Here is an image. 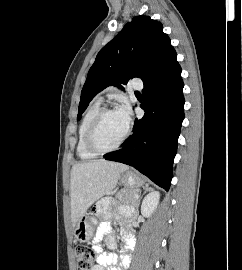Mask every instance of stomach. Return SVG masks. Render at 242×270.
<instances>
[{
  "label": "stomach",
  "instance_id": "1",
  "mask_svg": "<svg viewBox=\"0 0 242 270\" xmlns=\"http://www.w3.org/2000/svg\"><path fill=\"white\" fill-rule=\"evenodd\" d=\"M120 181L129 190L138 193L139 188L144 184V180L141 176L133 171H125L120 176ZM96 220L88 215H83L76 223L73 236L76 241L80 243H85L91 239L94 232V225Z\"/></svg>",
  "mask_w": 242,
  "mask_h": 270
}]
</instances>
